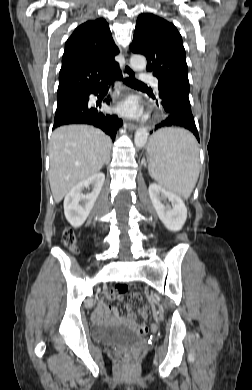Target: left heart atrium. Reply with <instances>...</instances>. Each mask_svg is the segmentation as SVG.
Segmentation results:
<instances>
[{
    "instance_id": "1",
    "label": "left heart atrium",
    "mask_w": 252,
    "mask_h": 390,
    "mask_svg": "<svg viewBox=\"0 0 252 390\" xmlns=\"http://www.w3.org/2000/svg\"><path fill=\"white\" fill-rule=\"evenodd\" d=\"M117 111L123 115L130 117L137 116L140 114L139 106L133 98H128L125 101L121 102L117 106Z\"/></svg>"
}]
</instances>
